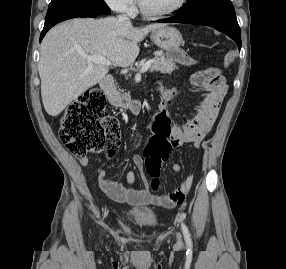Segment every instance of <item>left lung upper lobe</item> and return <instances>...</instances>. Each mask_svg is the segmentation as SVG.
Wrapping results in <instances>:
<instances>
[{
  "label": "left lung upper lobe",
  "mask_w": 286,
  "mask_h": 269,
  "mask_svg": "<svg viewBox=\"0 0 286 269\" xmlns=\"http://www.w3.org/2000/svg\"><path fill=\"white\" fill-rule=\"evenodd\" d=\"M182 16L210 12L235 13L230 0H187V4L175 11Z\"/></svg>",
  "instance_id": "left-lung-upper-lobe-1"
}]
</instances>
